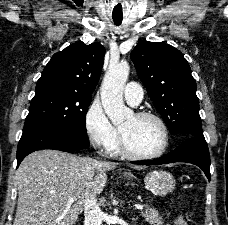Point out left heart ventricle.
<instances>
[{
  "instance_id": "left-heart-ventricle-1",
  "label": "left heart ventricle",
  "mask_w": 228,
  "mask_h": 225,
  "mask_svg": "<svg viewBox=\"0 0 228 225\" xmlns=\"http://www.w3.org/2000/svg\"><path fill=\"white\" fill-rule=\"evenodd\" d=\"M128 145L136 152L154 154L164 142L161 126L153 119H138L133 115L121 127Z\"/></svg>"
}]
</instances>
